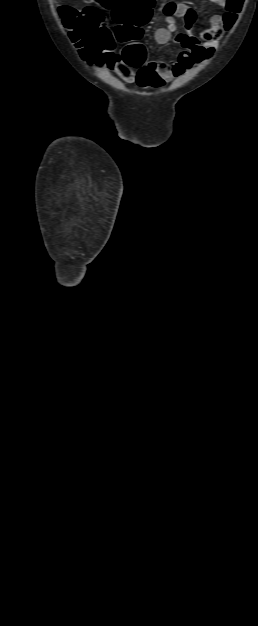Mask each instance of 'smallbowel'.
Wrapping results in <instances>:
<instances>
[{
    "mask_svg": "<svg viewBox=\"0 0 258 626\" xmlns=\"http://www.w3.org/2000/svg\"><path fill=\"white\" fill-rule=\"evenodd\" d=\"M219 7H225L226 0H209ZM164 27L155 31V40L158 44L170 42L172 34L176 32V19H182L186 32L177 34L175 40L183 50L176 60L171 62L148 61L137 71L123 59L121 55H114L107 62L124 82L136 83L142 88H161L168 82L182 76L193 67L213 57L224 31L222 14H215L209 19V28L201 35L191 33L197 19L196 11L188 4L168 1L163 5Z\"/></svg>",
    "mask_w": 258,
    "mask_h": 626,
    "instance_id": "c3829d8e",
    "label": "small bowel"
}]
</instances>
